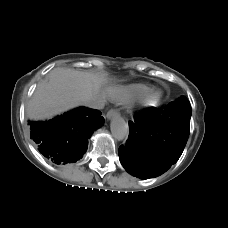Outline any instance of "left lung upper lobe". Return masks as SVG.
<instances>
[{"label":"left lung upper lobe","mask_w":228,"mask_h":228,"mask_svg":"<svg viewBox=\"0 0 228 228\" xmlns=\"http://www.w3.org/2000/svg\"><path fill=\"white\" fill-rule=\"evenodd\" d=\"M182 107H190V102L185 96H181L177 101L171 102Z\"/></svg>","instance_id":"obj_1"}]
</instances>
